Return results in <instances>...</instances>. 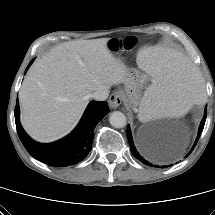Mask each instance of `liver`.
<instances>
[{
    "instance_id": "obj_1",
    "label": "liver",
    "mask_w": 215,
    "mask_h": 215,
    "mask_svg": "<svg viewBox=\"0 0 215 215\" xmlns=\"http://www.w3.org/2000/svg\"><path fill=\"white\" fill-rule=\"evenodd\" d=\"M108 41L65 42L34 62L19 91L21 124L32 138L51 142L65 136L93 92L123 83L127 67L111 54Z\"/></svg>"
}]
</instances>
